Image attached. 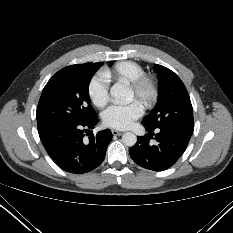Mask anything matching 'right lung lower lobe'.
Masks as SVG:
<instances>
[{
  "instance_id": "right-lung-lower-lobe-1",
  "label": "right lung lower lobe",
  "mask_w": 233,
  "mask_h": 233,
  "mask_svg": "<svg viewBox=\"0 0 233 233\" xmlns=\"http://www.w3.org/2000/svg\"><path fill=\"white\" fill-rule=\"evenodd\" d=\"M98 123L97 115L84 123H59L38 130L41 142L51 159L64 171L83 174L98 167L104 160L112 139L109 129L84 138L87 128Z\"/></svg>"
}]
</instances>
